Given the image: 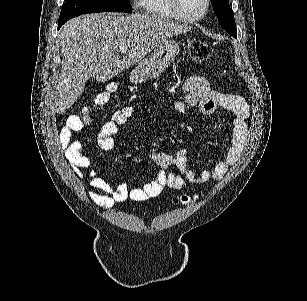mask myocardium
<instances>
[{
  "mask_svg": "<svg viewBox=\"0 0 307 301\" xmlns=\"http://www.w3.org/2000/svg\"><path fill=\"white\" fill-rule=\"evenodd\" d=\"M178 1L182 0H170L169 3V11L174 17L176 16L177 22H200L201 17H205L208 9L207 0H201V9L195 8L194 11L178 10L180 8Z\"/></svg>",
  "mask_w": 307,
  "mask_h": 301,
  "instance_id": "f54148a6",
  "label": "myocardium"
}]
</instances>
